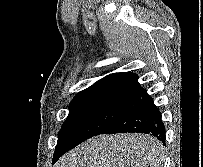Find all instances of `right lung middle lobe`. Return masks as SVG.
<instances>
[{
    "instance_id": "obj_1",
    "label": "right lung middle lobe",
    "mask_w": 203,
    "mask_h": 167,
    "mask_svg": "<svg viewBox=\"0 0 203 167\" xmlns=\"http://www.w3.org/2000/svg\"><path fill=\"white\" fill-rule=\"evenodd\" d=\"M130 108L107 101L71 102L57 144L70 150L83 141L102 134Z\"/></svg>"
}]
</instances>
